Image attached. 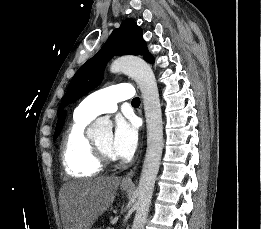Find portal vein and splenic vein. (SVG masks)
Here are the masks:
<instances>
[{
    "instance_id": "portal-vein-and-splenic-vein-1",
    "label": "portal vein and splenic vein",
    "mask_w": 261,
    "mask_h": 229,
    "mask_svg": "<svg viewBox=\"0 0 261 229\" xmlns=\"http://www.w3.org/2000/svg\"><path fill=\"white\" fill-rule=\"evenodd\" d=\"M110 229H115V227H114V226H111Z\"/></svg>"
}]
</instances>
